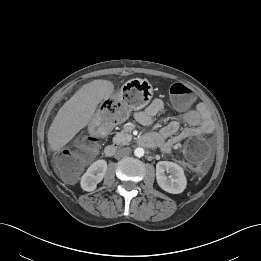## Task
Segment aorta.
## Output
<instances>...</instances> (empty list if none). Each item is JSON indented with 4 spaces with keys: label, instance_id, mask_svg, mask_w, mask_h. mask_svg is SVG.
Here are the masks:
<instances>
[{
    "label": "aorta",
    "instance_id": "aorta-1",
    "mask_svg": "<svg viewBox=\"0 0 261 261\" xmlns=\"http://www.w3.org/2000/svg\"><path fill=\"white\" fill-rule=\"evenodd\" d=\"M144 153H145V151H144V149L143 148H141V147H138V148H136L135 150H134V155L136 156V157H143L144 156Z\"/></svg>",
    "mask_w": 261,
    "mask_h": 261
}]
</instances>
